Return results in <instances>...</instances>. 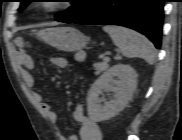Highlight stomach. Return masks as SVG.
Here are the masks:
<instances>
[{
  "mask_svg": "<svg viewBox=\"0 0 182 140\" xmlns=\"http://www.w3.org/2000/svg\"><path fill=\"white\" fill-rule=\"evenodd\" d=\"M38 36L48 45L66 52L81 51L89 38L72 27H53L38 32Z\"/></svg>",
  "mask_w": 182,
  "mask_h": 140,
  "instance_id": "0dacf381",
  "label": "stomach"
}]
</instances>
